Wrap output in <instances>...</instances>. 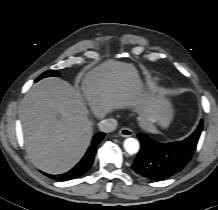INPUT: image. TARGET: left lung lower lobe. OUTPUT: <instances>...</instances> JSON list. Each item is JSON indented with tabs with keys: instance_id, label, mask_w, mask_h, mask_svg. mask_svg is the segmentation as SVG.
Masks as SVG:
<instances>
[{
	"instance_id": "1",
	"label": "left lung lower lobe",
	"mask_w": 218,
	"mask_h": 210,
	"mask_svg": "<svg viewBox=\"0 0 218 210\" xmlns=\"http://www.w3.org/2000/svg\"><path fill=\"white\" fill-rule=\"evenodd\" d=\"M201 120L195 132L183 141L159 143L146 134H138L141 149L132 169L149 179L161 180L180 171L193 155L202 131Z\"/></svg>"
}]
</instances>
